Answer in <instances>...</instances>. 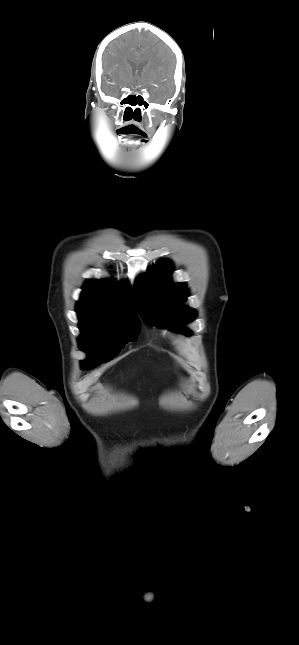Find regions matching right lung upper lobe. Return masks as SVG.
Here are the masks:
<instances>
[{
	"label": "right lung upper lobe",
	"instance_id": "1",
	"mask_svg": "<svg viewBox=\"0 0 299 645\" xmlns=\"http://www.w3.org/2000/svg\"><path fill=\"white\" fill-rule=\"evenodd\" d=\"M76 309L80 312L104 311L138 318L131 285L115 280H87Z\"/></svg>",
	"mask_w": 299,
	"mask_h": 645
}]
</instances>
